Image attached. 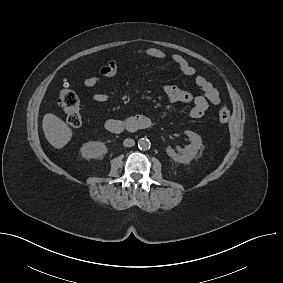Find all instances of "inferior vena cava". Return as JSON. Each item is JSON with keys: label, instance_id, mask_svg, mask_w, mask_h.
Wrapping results in <instances>:
<instances>
[{"label": "inferior vena cava", "instance_id": "inferior-vena-cava-1", "mask_svg": "<svg viewBox=\"0 0 283 283\" xmlns=\"http://www.w3.org/2000/svg\"><path fill=\"white\" fill-rule=\"evenodd\" d=\"M123 145H124V147H133L135 145V141L131 138H126L123 141Z\"/></svg>", "mask_w": 283, "mask_h": 283}]
</instances>
